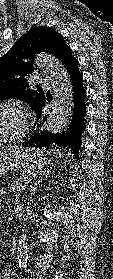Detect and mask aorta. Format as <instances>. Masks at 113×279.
Returning a JSON list of instances; mask_svg holds the SVG:
<instances>
[{
  "label": "aorta",
  "instance_id": "aorta-1",
  "mask_svg": "<svg viewBox=\"0 0 113 279\" xmlns=\"http://www.w3.org/2000/svg\"><path fill=\"white\" fill-rule=\"evenodd\" d=\"M36 65L51 79L54 90V107L48 116L45 127L50 134L60 133L68 124L73 108V87L63 64L55 57L40 53L35 59ZM28 238L22 233L17 247V261L19 266H26L28 262Z\"/></svg>",
  "mask_w": 113,
  "mask_h": 279
}]
</instances>
